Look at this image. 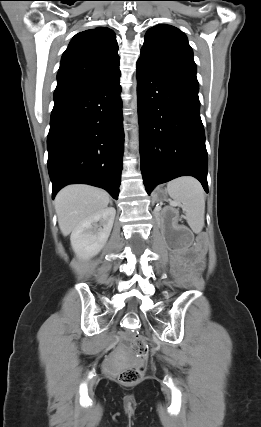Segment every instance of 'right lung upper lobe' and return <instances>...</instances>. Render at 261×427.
<instances>
[{"label":"right lung upper lobe","instance_id":"obj_1","mask_svg":"<svg viewBox=\"0 0 261 427\" xmlns=\"http://www.w3.org/2000/svg\"><path fill=\"white\" fill-rule=\"evenodd\" d=\"M118 73V44L113 31L98 27L80 32L63 53L54 99L105 81Z\"/></svg>","mask_w":261,"mask_h":427}]
</instances>
